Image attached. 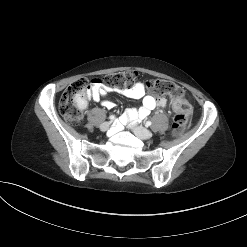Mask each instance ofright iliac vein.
<instances>
[{
	"instance_id": "obj_1",
	"label": "right iliac vein",
	"mask_w": 247,
	"mask_h": 247,
	"mask_svg": "<svg viewBox=\"0 0 247 247\" xmlns=\"http://www.w3.org/2000/svg\"><path fill=\"white\" fill-rule=\"evenodd\" d=\"M111 126V122H104L101 124L100 129L101 131H107Z\"/></svg>"
}]
</instances>
